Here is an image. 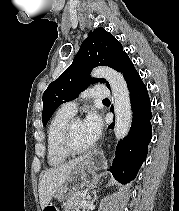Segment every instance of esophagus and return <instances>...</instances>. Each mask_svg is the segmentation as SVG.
<instances>
[{
	"label": "esophagus",
	"instance_id": "34e87169",
	"mask_svg": "<svg viewBox=\"0 0 179 211\" xmlns=\"http://www.w3.org/2000/svg\"><path fill=\"white\" fill-rule=\"evenodd\" d=\"M92 156H95L92 162V167H94V171H99V167H103L106 162L103 158L102 151H92Z\"/></svg>",
	"mask_w": 179,
	"mask_h": 211
}]
</instances>
